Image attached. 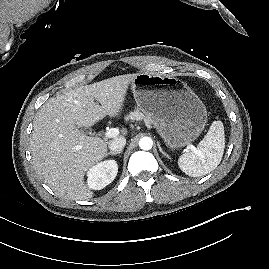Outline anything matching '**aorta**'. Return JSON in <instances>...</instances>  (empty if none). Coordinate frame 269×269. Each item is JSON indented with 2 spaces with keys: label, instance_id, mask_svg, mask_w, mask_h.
<instances>
[{
  "label": "aorta",
  "instance_id": "aorta-1",
  "mask_svg": "<svg viewBox=\"0 0 269 269\" xmlns=\"http://www.w3.org/2000/svg\"><path fill=\"white\" fill-rule=\"evenodd\" d=\"M153 146V141L150 137H142L139 140V147L142 150H150Z\"/></svg>",
  "mask_w": 269,
  "mask_h": 269
}]
</instances>
